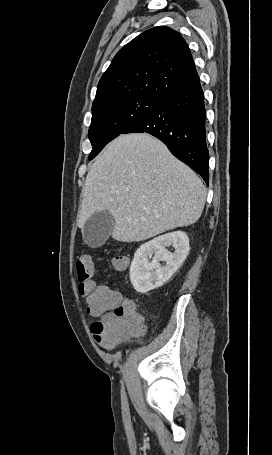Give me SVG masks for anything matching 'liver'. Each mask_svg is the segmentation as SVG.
Here are the masks:
<instances>
[{"instance_id": "liver-1", "label": "liver", "mask_w": 272, "mask_h": 455, "mask_svg": "<svg viewBox=\"0 0 272 455\" xmlns=\"http://www.w3.org/2000/svg\"><path fill=\"white\" fill-rule=\"evenodd\" d=\"M78 227L97 211L114 218L112 238L138 242L199 220L206 189L187 165L145 133L120 135L89 170Z\"/></svg>"}]
</instances>
